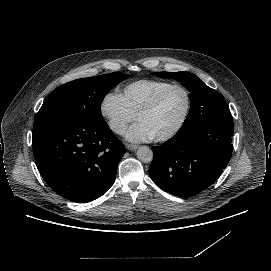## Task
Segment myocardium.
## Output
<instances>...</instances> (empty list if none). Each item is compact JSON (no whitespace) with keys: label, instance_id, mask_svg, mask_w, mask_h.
<instances>
[{"label":"myocardium","instance_id":"obj_1","mask_svg":"<svg viewBox=\"0 0 271 271\" xmlns=\"http://www.w3.org/2000/svg\"><path fill=\"white\" fill-rule=\"evenodd\" d=\"M175 88H181L182 90H184L186 97H187V107H186L184 116L182 117L179 124L173 130H171L169 133H167L163 136L154 138V140L156 142L170 141L173 138H175L182 131V129L184 128V126L186 125V123L190 117L192 107H193V96H192L191 90L184 84L172 83L169 86H167L166 88H164L163 90H161L158 94H156L153 97V99L147 105H145L136 115V119H139L141 116H144L146 114L153 112L159 106V104L162 102L164 97L171 90H173Z\"/></svg>","mask_w":271,"mask_h":271}]
</instances>
